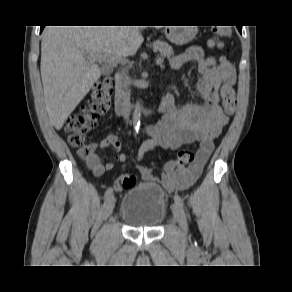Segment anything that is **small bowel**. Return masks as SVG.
Wrapping results in <instances>:
<instances>
[{"label":"small bowel","mask_w":292,"mask_h":292,"mask_svg":"<svg viewBox=\"0 0 292 292\" xmlns=\"http://www.w3.org/2000/svg\"><path fill=\"white\" fill-rule=\"evenodd\" d=\"M190 62L195 63L199 73L192 90V98L178 104L174 95L166 96V112L156 125L145 128L148 140L140 146L137 156L141 160L147 151L155 147L175 150L194 142L200 143L195 161L187 167L171 160L159 175L148 167L137 168L143 181L159 182L169 193L188 189L201 175L214 150V140L221 135L228 122L219 105V88L221 85L232 86L236 82L235 66L226 56L218 59L206 57L201 47L192 46L171 59V66L179 70ZM108 147L114 150L112 160L104 163L102 155L97 151H93L87 159L88 166L97 177L112 170L115 163H124L127 160L126 154L120 151L121 144L116 134H108L96 145L100 149ZM114 188L121 189L119 181L114 184Z\"/></svg>","instance_id":"small-bowel-1"}]
</instances>
